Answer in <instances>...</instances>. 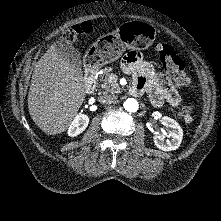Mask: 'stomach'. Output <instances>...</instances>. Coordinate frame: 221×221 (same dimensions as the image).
<instances>
[{"label":"stomach","instance_id":"obj_1","mask_svg":"<svg viewBox=\"0 0 221 221\" xmlns=\"http://www.w3.org/2000/svg\"><path fill=\"white\" fill-rule=\"evenodd\" d=\"M155 37L156 31L150 22H132L118 27L113 34L101 36L88 49L85 58L92 64L102 66L120 58L127 47H149Z\"/></svg>","mask_w":221,"mask_h":221}]
</instances>
